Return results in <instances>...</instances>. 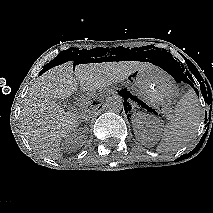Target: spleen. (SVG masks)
Returning <instances> with one entry per match:
<instances>
[{
    "label": "spleen",
    "instance_id": "obj_1",
    "mask_svg": "<svg viewBox=\"0 0 213 213\" xmlns=\"http://www.w3.org/2000/svg\"><path fill=\"white\" fill-rule=\"evenodd\" d=\"M174 116L164 127L159 152L178 150L188 143L197 133L202 121V109L197 94L189 89L178 101Z\"/></svg>",
    "mask_w": 213,
    "mask_h": 213
}]
</instances>
